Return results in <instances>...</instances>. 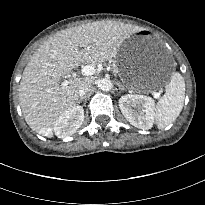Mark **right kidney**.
Returning <instances> with one entry per match:
<instances>
[{"mask_svg":"<svg viewBox=\"0 0 205 205\" xmlns=\"http://www.w3.org/2000/svg\"><path fill=\"white\" fill-rule=\"evenodd\" d=\"M84 121V110L82 106H75L64 111L56 120L53 127L58 138H67L73 135Z\"/></svg>","mask_w":205,"mask_h":205,"instance_id":"ca27d5eb","label":"right kidney"}]
</instances>
